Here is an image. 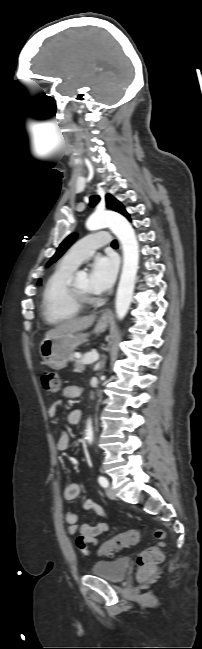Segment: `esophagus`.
Instances as JSON below:
<instances>
[{"instance_id":"34e87169","label":"esophagus","mask_w":202,"mask_h":649,"mask_svg":"<svg viewBox=\"0 0 202 649\" xmlns=\"http://www.w3.org/2000/svg\"><path fill=\"white\" fill-rule=\"evenodd\" d=\"M110 314H111L110 310H109V309L106 310V311L104 312V314H103V318H108V317L110 316Z\"/></svg>"}]
</instances>
